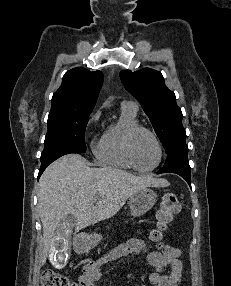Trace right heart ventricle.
<instances>
[{
    "instance_id": "1",
    "label": "right heart ventricle",
    "mask_w": 231,
    "mask_h": 286,
    "mask_svg": "<svg viewBox=\"0 0 231 286\" xmlns=\"http://www.w3.org/2000/svg\"><path fill=\"white\" fill-rule=\"evenodd\" d=\"M138 125L136 111L122 107L119 120L106 127L94 146L95 158L106 166L132 169L124 152V139L127 131Z\"/></svg>"
}]
</instances>
